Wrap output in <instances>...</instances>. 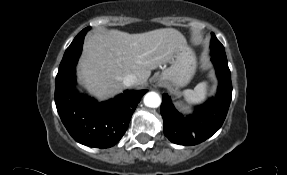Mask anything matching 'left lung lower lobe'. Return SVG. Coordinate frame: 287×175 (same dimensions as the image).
<instances>
[{"instance_id":"left-lung-lower-lobe-1","label":"left lung lower lobe","mask_w":287,"mask_h":175,"mask_svg":"<svg viewBox=\"0 0 287 175\" xmlns=\"http://www.w3.org/2000/svg\"><path fill=\"white\" fill-rule=\"evenodd\" d=\"M219 80L218 92L214 99L197 107L193 115L180 114L171 103V97L163 94L161 115L164 121V134L173 143L196 145L222 126L232 99L231 74L227 59L211 55Z\"/></svg>"}]
</instances>
